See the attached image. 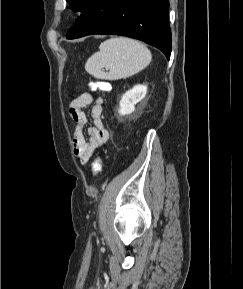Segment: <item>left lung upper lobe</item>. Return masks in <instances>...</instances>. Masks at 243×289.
I'll return each instance as SVG.
<instances>
[{
  "instance_id": "1",
  "label": "left lung upper lobe",
  "mask_w": 243,
  "mask_h": 289,
  "mask_svg": "<svg viewBox=\"0 0 243 289\" xmlns=\"http://www.w3.org/2000/svg\"><path fill=\"white\" fill-rule=\"evenodd\" d=\"M69 5L76 11H83L90 0H66Z\"/></svg>"
}]
</instances>
